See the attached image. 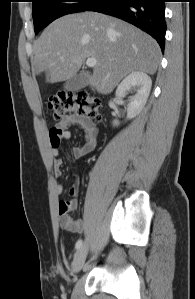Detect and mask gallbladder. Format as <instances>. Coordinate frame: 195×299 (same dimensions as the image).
<instances>
[{
    "label": "gallbladder",
    "instance_id": "gallbladder-1",
    "mask_svg": "<svg viewBox=\"0 0 195 299\" xmlns=\"http://www.w3.org/2000/svg\"><path fill=\"white\" fill-rule=\"evenodd\" d=\"M88 84L87 76L83 73L74 75L64 84V89L67 91H78Z\"/></svg>",
    "mask_w": 195,
    "mask_h": 299
}]
</instances>
